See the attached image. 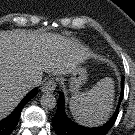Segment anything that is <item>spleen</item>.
<instances>
[{
    "label": "spleen",
    "mask_w": 135,
    "mask_h": 135,
    "mask_svg": "<svg viewBox=\"0 0 135 135\" xmlns=\"http://www.w3.org/2000/svg\"><path fill=\"white\" fill-rule=\"evenodd\" d=\"M114 81L105 77L90 90L81 92L69 102L74 119L84 126H98L105 123L112 111Z\"/></svg>",
    "instance_id": "spleen-1"
}]
</instances>
